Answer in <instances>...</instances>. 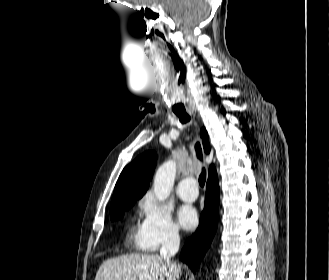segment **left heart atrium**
<instances>
[{
    "label": "left heart atrium",
    "mask_w": 329,
    "mask_h": 280,
    "mask_svg": "<svg viewBox=\"0 0 329 280\" xmlns=\"http://www.w3.org/2000/svg\"><path fill=\"white\" fill-rule=\"evenodd\" d=\"M177 219L181 227L190 230L193 229L198 222L197 212L190 205H182L178 209Z\"/></svg>",
    "instance_id": "1"
}]
</instances>
